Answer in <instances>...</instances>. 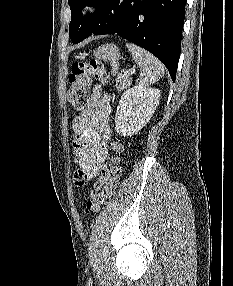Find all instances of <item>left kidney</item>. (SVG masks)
I'll return each instance as SVG.
<instances>
[{
  "label": "left kidney",
  "mask_w": 233,
  "mask_h": 286,
  "mask_svg": "<svg viewBox=\"0 0 233 286\" xmlns=\"http://www.w3.org/2000/svg\"><path fill=\"white\" fill-rule=\"evenodd\" d=\"M160 90L135 86L121 96L115 117V130L129 137L137 134L154 114L159 104Z\"/></svg>",
  "instance_id": "5707ae66"
}]
</instances>
